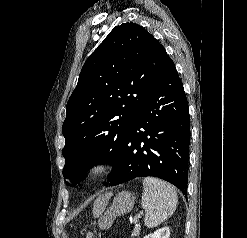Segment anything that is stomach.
<instances>
[{
	"label": "stomach",
	"instance_id": "obj_1",
	"mask_svg": "<svg viewBox=\"0 0 247 238\" xmlns=\"http://www.w3.org/2000/svg\"><path fill=\"white\" fill-rule=\"evenodd\" d=\"M135 197L129 191H122L118 193L113 199L112 205L102 215L98 221L100 229H108L113 224L114 220L118 216H122L131 211L134 206Z\"/></svg>",
	"mask_w": 247,
	"mask_h": 238
}]
</instances>
